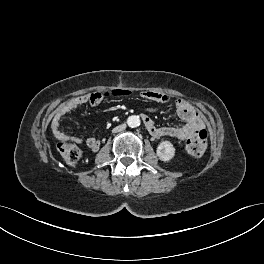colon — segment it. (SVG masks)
Wrapping results in <instances>:
<instances>
[{
    "mask_svg": "<svg viewBox=\"0 0 264 264\" xmlns=\"http://www.w3.org/2000/svg\"><path fill=\"white\" fill-rule=\"evenodd\" d=\"M103 98V94L94 93L91 96V101H96ZM207 145V133L204 129L198 130L193 136L186 141V151L193 157H200ZM57 150L67 164H76L81 158L80 148L65 140H60L57 143Z\"/></svg>",
    "mask_w": 264,
    "mask_h": 264,
    "instance_id": "colon-1",
    "label": "colon"
}]
</instances>
